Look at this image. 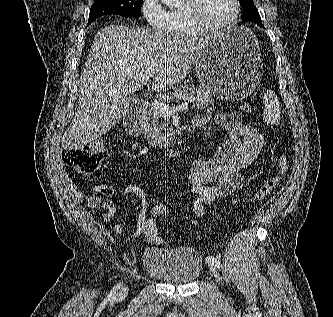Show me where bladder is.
<instances>
[{
	"label": "bladder",
	"mask_w": 333,
	"mask_h": 317,
	"mask_svg": "<svg viewBox=\"0 0 333 317\" xmlns=\"http://www.w3.org/2000/svg\"><path fill=\"white\" fill-rule=\"evenodd\" d=\"M143 267L150 277L185 285L195 282L202 273V256L187 247L161 248L148 246L143 252Z\"/></svg>",
	"instance_id": "bladder-1"
}]
</instances>
